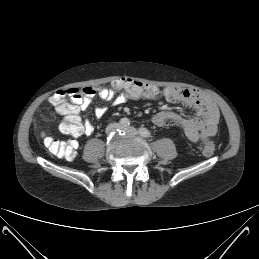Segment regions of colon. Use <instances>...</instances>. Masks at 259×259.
Returning <instances> with one entry per match:
<instances>
[{"mask_svg":"<svg viewBox=\"0 0 259 259\" xmlns=\"http://www.w3.org/2000/svg\"><path fill=\"white\" fill-rule=\"evenodd\" d=\"M111 88L117 90H125L133 95L150 96L154 94V89L151 85L142 83L134 79L121 78L114 81L111 84ZM74 91H77L74 89ZM69 92V90H67ZM56 104H61L62 99H56ZM60 129L67 134L75 137L80 131V122L77 119L64 120L61 122ZM45 145L48 150L58 156L65 158L66 160H73L76 157V150L78 147L77 141L69 139L66 141H57L52 138H45ZM202 152L205 156L210 157L215 152V143L212 139L206 138L202 142Z\"/></svg>","mask_w":259,"mask_h":259,"instance_id":"obj_1","label":"colon"}]
</instances>
